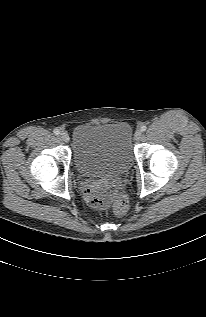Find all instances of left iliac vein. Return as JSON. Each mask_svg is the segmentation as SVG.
Returning a JSON list of instances; mask_svg holds the SVG:
<instances>
[{
	"mask_svg": "<svg viewBox=\"0 0 206 317\" xmlns=\"http://www.w3.org/2000/svg\"><path fill=\"white\" fill-rule=\"evenodd\" d=\"M141 136H142L141 130H137V131L135 132V135H134L135 139H136V140H139V139L141 138Z\"/></svg>",
	"mask_w": 206,
	"mask_h": 317,
	"instance_id": "1",
	"label": "left iliac vein"
}]
</instances>
